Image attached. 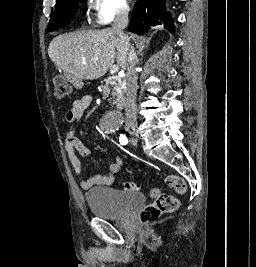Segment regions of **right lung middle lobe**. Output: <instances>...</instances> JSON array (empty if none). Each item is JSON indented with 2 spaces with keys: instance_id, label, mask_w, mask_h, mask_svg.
I'll return each instance as SVG.
<instances>
[{
  "instance_id": "dd1d6c3e",
  "label": "right lung middle lobe",
  "mask_w": 256,
  "mask_h": 267,
  "mask_svg": "<svg viewBox=\"0 0 256 267\" xmlns=\"http://www.w3.org/2000/svg\"><path fill=\"white\" fill-rule=\"evenodd\" d=\"M86 0H60L57 1L54 15L51 17L48 29L50 31L57 30L64 27L68 21H70L77 9L79 2H85Z\"/></svg>"
}]
</instances>
